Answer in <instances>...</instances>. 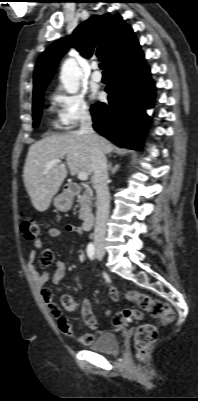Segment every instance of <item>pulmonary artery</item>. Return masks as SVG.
Segmentation results:
<instances>
[{"instance_id":"pulmonary-artery-1","label":"pulmonary artery","mask_w":198,"mask_h":401,"mask_svg":"<svg viewBox=\"0 0 198 401\" xmlns=\"http://www.w3.org/2000/svg\"><path fill=\"white\" fill-rule=\"evenodd\" d=\"M92 68V74H91V79L94 82H101L102 81V74L99 71V66L97 63H92L91 65Z\"/></svg>"}]
</instances>
